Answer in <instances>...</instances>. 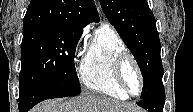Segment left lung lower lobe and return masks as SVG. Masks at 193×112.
<instances>
[{
	"mask_svg": "<svg viewBox=\"0 0 193 112\" xmlns=\"http://www.w3.org/2000/svg\"><path fill=\"white\" fill-rule=\"evenodd\" d=\"M165 102V91L162 79L157 83L156 88L149 97L140 100L137 104L149 112H162Z\"/></svg>",
	"mask_w": 193,
	"mask_h": 112,
	"instance_id": "obj_1",
	"label": "left lung lower lobe"
}]
</instances>
